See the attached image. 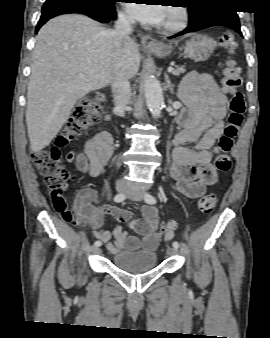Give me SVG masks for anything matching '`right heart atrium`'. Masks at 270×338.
<instances>
[{"instance_id": "1", "label": "right heart atrium", "mask_w": 270, "mask_h": 338, "mask_svg": "<svg viewBox=\"0 0 270 338\" xmlns=\"http://www.w3.org/2000/svg\"><path fill=\"white\" fill-rule=\"evenodd\" d=\"M121 18H122L123 21H126V22H131L132 21V18L129 15L125 14V13L121 14Z\"/></svg>"}]
</instances>
